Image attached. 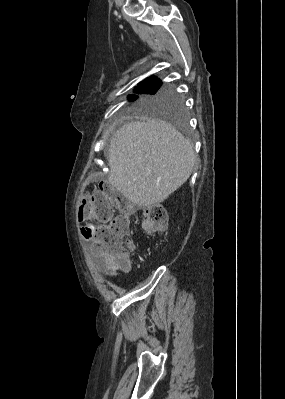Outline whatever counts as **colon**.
Returning <instances> with one entry per match:
<instances>
[{
    "label": "colon",
    "instance_id": "obj_1",
    "mask_svg": "<svg viewBox=\"0 0 285 399\" xmlns=\"http://www.w3.org/2000/svg\"><path fill=\"white\" fill-rule=\"evenodd\" d=\"M119 206L126 205L117 191L111 185L101 183L96 190L82 195L78 215L81 221L99 222L94 225L93 241L111 262L124 268L132 253L133 241L130 235V216L112 215L113 208ZM130 215L139 216L144 229L148 231L162 235L167 231L166 211L161 205L135 208Z\"/></svg>",
    "mask_w": 285,
    "mask_h": 399
}]
</instances>
